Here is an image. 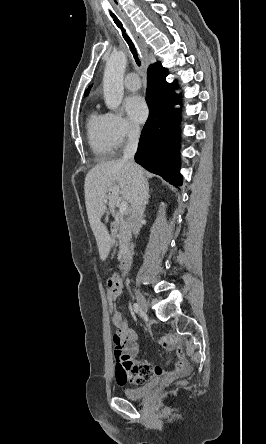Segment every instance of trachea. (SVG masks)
I'll use <instances>...</instances> for the list:
<instances>
[{"label":"trachea","mask_w":266,"mask_h":444,"mask_svg":"<svg viewBox=\"0 0 266 444\" xmlns=\"http://www.w3.org/2000/svg\"><path fill=\"white\" fill-rule=\"evenodd\" d=\"M110 15H111V17L113 18L114 23H115V24L117 25V27L121 30V32H122V36H123V38L125 39V41L127 42L128 46H129V48H130V51H131V53H132V55H133V57H134V60H135L136 64H137L138 66H140V65H141V61H140V59H139L137 49H136V47H135L133 41L131 40V38H130L129 35L127 34L126 29L124 28L122 22H121V21L116 17V15H115L114 13H112L111 11H110Z\"/></svg>","instance_id":"trachea-1"}]
</instances>
